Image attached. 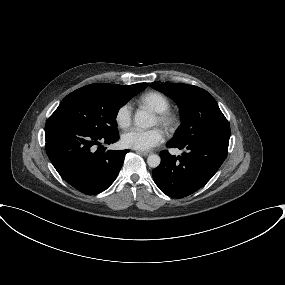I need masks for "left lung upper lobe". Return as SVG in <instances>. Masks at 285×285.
Returning a JSON list of instances; mask_svg holds the SVG:
<instances>
[{"label":"left lung upper lobe","instance_id":"obj_1","mask_svg":"<svg viewBox=\"0 0 285 285\" xmlns=\"http://www.w3.org/2000/svg\"><path fill=\"white\" fill-rule=\"evenodd\" d=\"M173 99L181 111V125L170 142L195 140L229 143L230 126L216 100L204 89L188 84H151Z\"/></svg>","mask_w":285,"mask_h":285}]
</instances>
